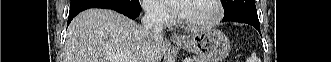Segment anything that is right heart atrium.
<instances>
[{
    "mask_svg": "<svg viewBox=\"0 0 331 62\" xmlns=\"http://www.w3.org/2000/svg\"><path fill=\"white\" fill-rule=\"evenodd\" d=\"M143 7L145 8L148 17L157 21H167L170 15L166 8L154 1H143Z\"/></svg>",
    "mask_w": 331,
    "mask_h": 62,
    "instance_id": "d8ad5b80",
    "label": "right heart atrium"
}]
</instances>
